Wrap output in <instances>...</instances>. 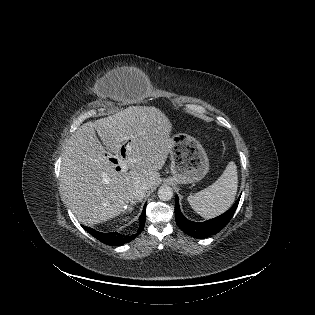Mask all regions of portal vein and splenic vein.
<instances>
[{
	"instance_id": "portal-vein-and-splenic-vein-1",
	"label": "portal vein and splenic vein",
	"mask_w": 315,
	"mask_h": 315,
	"mask_svg": "<svg viewBox=\"0 0 315 315\" xmlns=\"http://www.w3.org/2000/svg\"><path fill=\"white\" fill-rule=\"evenodd\" d=\"M128 169H127V165L126 164H122V171L123 172H126Z\"/></svg>"
}]
</instances>
